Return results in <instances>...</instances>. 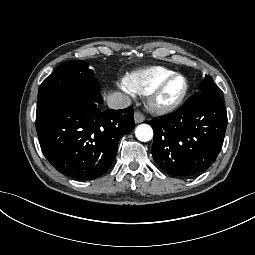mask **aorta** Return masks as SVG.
Masks as SVG:
<instances>
[{
    "label": "aorta",
    "instance_id": "762f6f07",
    "mask_svg": "<svg viewBox=\"0 0 255 255\" xmlns=\"http://www.w3.org/2000/svg\"><path fill=\"white\" fill-rule=\"evenodd\" d=\"M135 134L138 140L147 142L152 139L153 130L149 125L141 124L136 128Z\"/></svg>",
    "mask_w": 255,
    "mask_h": 255
}]
</instances>
